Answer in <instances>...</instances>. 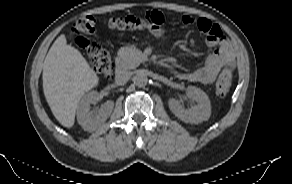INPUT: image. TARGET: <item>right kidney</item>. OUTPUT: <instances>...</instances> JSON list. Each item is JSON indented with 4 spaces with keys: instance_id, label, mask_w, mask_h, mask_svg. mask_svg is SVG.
<instances>
[{
    "instance_id": "right-kidney-1",
    "label": "right kidney",
    "mask_w": 292,
    "mask_h": 184,
    "mask_svg": "<svg viewBox=\"0 0 292 184\" xmlns=\"http://www.w3.org/2000/svg\"><path fill=\"white\" fill-rule=\"evenodd\" d=\"M98 100L99 93L91 91L83 96L77 106V121L85 131H95L112 113L113 101H107L99 110L90 111V104H95Z\"/></svg>"
}]
</instances>
